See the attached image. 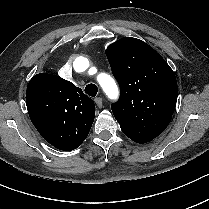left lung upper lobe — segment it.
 <instances>
[{
	"mask_svg": "<svg viewBox=\"0 0 209 209\" xmlns=\"http://www.w3.org/2000/svg\"><path fill=\"white\" fill-rule=\"evenodd\" d=\"M106 55L121 96L112 112L122 132L144 144L159 136L171 121L178 95L173 70L151 46L136 38L111 44Z\"/></svg>",
	"mask_w": 209,
	"mask_h": 209,
	"instance_id": "left-lung-upper-lobe-1",
	"label": "left lung upper lobe"
}]
</instances>
